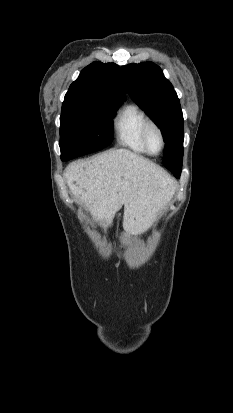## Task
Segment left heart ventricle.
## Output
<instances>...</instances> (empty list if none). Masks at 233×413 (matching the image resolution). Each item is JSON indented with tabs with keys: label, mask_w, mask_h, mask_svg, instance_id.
<instances>
[{
	"label": "left heart ventricle",
	"mask_w": 233,
	"mask_h": 413,
	"mask_svg": "<svg viewBox=\"0 0 233 413\" xmlns=\"http://www.w3.org/2000/svg\"><path fill=\"white\" fill-rule=\"evenodd\" d=\"M148 146L152 152H158L161 147V139L158 132L151 129L148 132Z\"/></svg>",
	"instance_id": "b2bd125f"
}]
</instances>
